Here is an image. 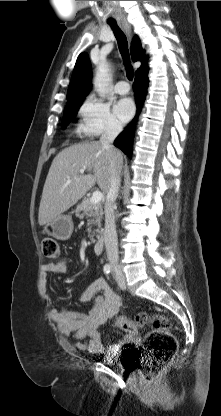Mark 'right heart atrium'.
<instances>
[{
    "label": "right heart atrium",
    "instance_id": "right-heart-atrium-1",
    "mask_svg": "<svg viewBox=\"0 0 221 416\" xmlns=\"http://www.w3.org/2000/svg\"><path fill=\"white\" fill-rule=\"evenodd\" d=\"M78 132L86 137L116 135L122 127L109 105L94 95H88L79 108Z\"/></svg>",
    "mask_w": 221,
    "mask_h": 416
}]
</instances>
